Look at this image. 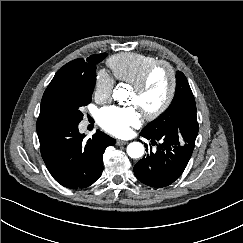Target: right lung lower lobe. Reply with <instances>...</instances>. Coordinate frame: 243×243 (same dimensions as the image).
<instances>
[{
  "mask_svg": "<svg viewBox=\"0 0 243 243\" xmlns=\"http://www.w3.org/2000/svg\"><path fill=\"white\" fill-rule=\"evenodd\" d=\"M78 124L37 121L42 158L54 179L71 188L92 185L102 174L103 153L115 140L101 131L83 141Z\"/></svg>",
  "mask_w": 243,
  "mask_h": 243,
  "instance_id": "98d812e1",
  "label": "right lung lower lobe"
}]
</instances>
